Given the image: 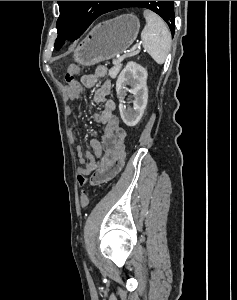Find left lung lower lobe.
I'll use <instances>...</instances> for the list:
<instances>
[{"instance_id":"0a47b994","label":"left lung lower lobe","mask_w":237,"mask_h":300,"mask_svg":"<svg viewBox=\"0 0 237 300\" xmlns=\"http://www.w3.org/2000/svg\"><path fill=\"white\" fill-rule=\"evenodd\" d=\"M166 2L167 1H160V6L161 7L164 6L166 4ZM121 4H122V1H112L106 8L105 13L113 11V10L121 9Z\"/></svg>"}]
</instances>
